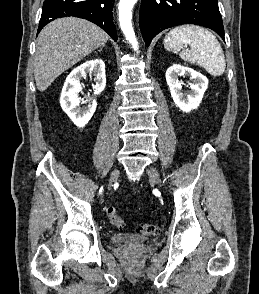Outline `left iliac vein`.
I'll use <instances>...</instances> for the list:
<instances>
[{"label": "left iliac vein", "instance_id": "1", "mask_svg": "<svg viewBox=\"0 0 259 294\" xmlns=\"http://www.w3.org/2000/svg\"><path fill=\"white\" fill-rule=\"evenodd\" d=\"M148 177L151 181L155 182L157 185L161 186V179L159 173L155 168L150 167L147 169Z\"/></svg>", "mask_w": 259, "mask_h": 294}]
</instances>
